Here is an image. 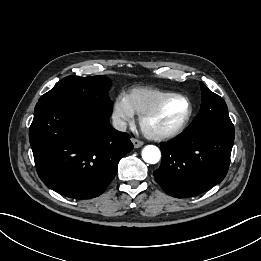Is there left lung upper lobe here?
Wrapping results in <instances>:
<instances>
[{"label":"left lung upper lobe","mask_w":261,"mask_h":261,"mask_svg":"<svg viewBox=\"0 0 261 261\" xmlns=\"http://www.w3.org/2000/svg\"><path fill=\"white\" fill-rule=\"evenodd\" d=\"M202 91V104L194 121L187 129H197L207 126H216L232 123L225 101L208 87L200 82Z\"/></svg>","instance_id":"5c2ea615"}]
</instances>
